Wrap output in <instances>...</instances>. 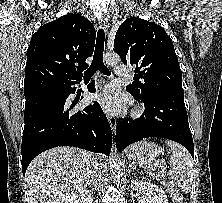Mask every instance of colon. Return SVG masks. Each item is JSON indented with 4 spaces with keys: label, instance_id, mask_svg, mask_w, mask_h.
Returning a JSON list of instances; mask_svg holds the SVG:
<instances>
[{
    "label": "colon",
    "instance_id": "1",
    "mask_svg": "<svg viewBox=\"0 0 222 203\" xmlns=\"http://www.w3.org/2000/svg\"><path fill=\"white\" fill-rule=\"evenodd\" d=\"M170 193L172 197V203H182L181 193L174 184L170 185Z\"/></svg>",
    "mask_w": 222,
    "mask_h": 203
}]
</instances>
